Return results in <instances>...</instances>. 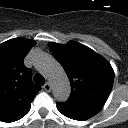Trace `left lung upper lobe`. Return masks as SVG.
<instances>
[{"mask_svg": "<svg viewBox=\"0 0 128 128\" xmlns=\"http://www.w3.org/2000/svg\"><path fill=\"white\" fill-rule=\"evenodd\" d=\"M54 57L63 66L71 84L68 102L101 107L112 89L114 71L99 54L80 43H49Z\"/></svg>", "mask_w": 128, "mask_h": 128, "instance_id": "left-lung-upper-lobe-1", "label": "left lung upper lobe"}]
</instances>
